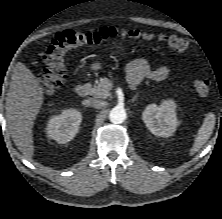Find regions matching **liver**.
Wrapping results in <instances>:
<instances>
[{"label": "liver", "instance_id": "1", "mask_svg": "<svg viewBox=\"0 0 222 219\" xmlns=\"http://www.w3.org/2000/svg\"><path fill=\"white\" fill-rule=\"evenodd\" d=\"M43 100L39 80L23 63H16L6 98V118L13 141L27 160L34 155L33 125Z\"/></svg>", "mask_w": 222, "mask_h": 219}]
</instances>
